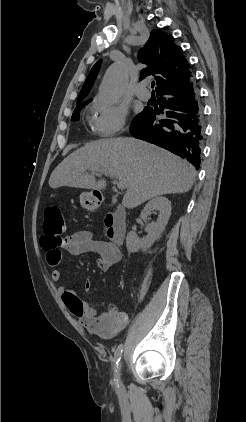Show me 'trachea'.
<instances>
[{"label": "trachea", "instance_id": "trachea-1", "mask_svg": "<svg viewBox=\"0 0 246 422\" xmlns=\"http://www.w3.org/2000/svg\"><path fill=\"white\" fill-rule=\"evenodd\" d=\"M155 86V81H152L151 87L153 88Z\"/></svg>", "mask_w": 246, "mask_h": 422}]
</instances>
